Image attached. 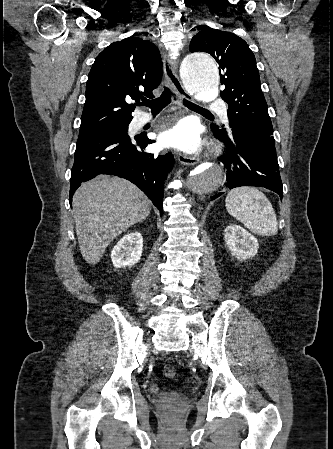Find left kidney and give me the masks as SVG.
<instances>
[{
	"label": "left kidney",
	"mask_w": 333,
	"mask_h": 449,
	"mask_svg": "<svg viewBox=\"0 0 333 449\" xmlns=\"http://www.w3.org/2000/svg\"><path fill=\"white\" fill-rule=\"evenodd\" d=\"M224 239L232 255L239 260L255 256L259 248L257 239L237 224H230L226 227Z\"/></svg>",
	"instance_id": "obj_1"
}]
</instances>
